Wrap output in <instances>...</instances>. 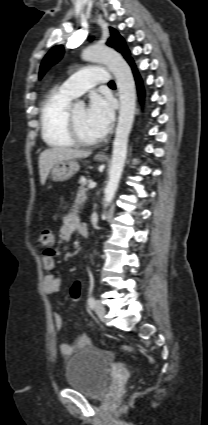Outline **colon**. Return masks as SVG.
Listing matches in <instances>:
<instances>
[{"mask_svg":"<svg viewBox=\"0 0 208 425\" xmlns=\"http://www.w3.org/2000/svg\"><path fill=\"white\" fill-rule=\"evenodd\" d=\"M37 245L45 250V252L51 253L55 245V234L52 229L44 228L37 239ZM82 285L80 281H76L70 288V296L73 301H78L81 297ZM122 348L129 352H136V347L129 344L122 345Z\"/></svg>","mask_w":208,"mask_h":425,"instance_id":"obj_1","label":"colon"}]
</instances>
